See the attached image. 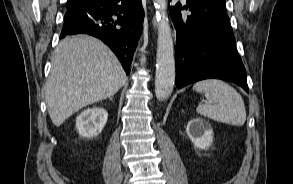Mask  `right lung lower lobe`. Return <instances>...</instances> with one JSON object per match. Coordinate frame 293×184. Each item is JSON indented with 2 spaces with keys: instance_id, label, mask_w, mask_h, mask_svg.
<instances>
[{
  "instance_id": "right-lung-lower-lobe-1",
  "label": "right lung lower lobe",
  "mask_w": 293,
  "mask_h": 184,
  "mask_svg": "<svg viewBox=\"0 0 293 184\" xmlns=\"http://www.w3.org/2000/svg\"><path fill=\"white\" fill-rule=\"evenodd\" d=\"M143 17L141 0H86L67 9L60 38L85 33L101 39L128 75Z\"/></svg>"
}]
</instances>
